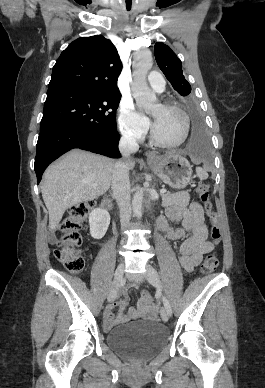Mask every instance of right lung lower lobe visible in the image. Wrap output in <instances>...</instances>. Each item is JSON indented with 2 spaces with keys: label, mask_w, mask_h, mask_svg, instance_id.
<instances>
[{
  "label": "right lung lower lobe",
  "mask_w": 265,
  "mask_h": 388,
  "mask_svg": "<svg viewBox=\"0 0 265 388\" xmlns=\"http://www.w3.org/2000/svg\"><path fill=\"white\" fill-rule=\"evenodd\" d=\"M118 132L104 133L93 128L75 125L56 126L40 132L34 170L37 183L41 181L46 167L73 148H81L112 158L120 157Z\"/></svg>",
  "instance_id": "obj_1"
}]
</instances>
